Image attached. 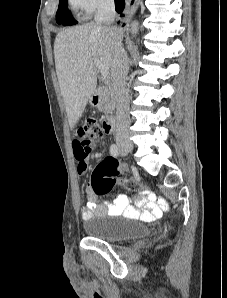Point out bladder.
<instances>
[{
	"instance_id": "31cf9c89",
	"label": "bladder",
	"mask_w": 227,
	"mask_h": 298,
	"mask_svg": "<svg viewBox=\"0 0 227 298\" xmlns=\"http://www.w3.org/2000/svg\"><path fill=\"white\" fill-rule=\"evenodd\" d=\"M87 236L106 242H123L149 236L150 231L143 223L129 219H108L98 216L84 223Z\"/></svg>"
}]
</instances>
